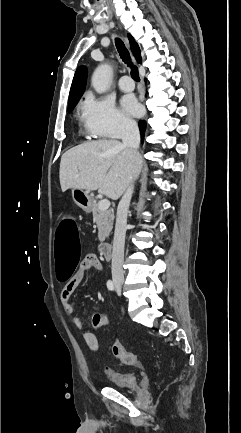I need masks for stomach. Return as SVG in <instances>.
<instances>
[{
  "instance_id": "0dacf381",
  "label": "stomach",
  "mask_w": 241,
  "mask_h": 433,
  "mask_svg": "<svg viewBox=\"0 0 241 433\" xmlns=\"http://www.w3.org/2000/svg\"><path fill=\"white\" fill-rule=\"evenodd\" d=\"M72 198L75 204L85 212H90L93 200L89 191L81 189H72Z\"/></svg>"
}]
</instances>
